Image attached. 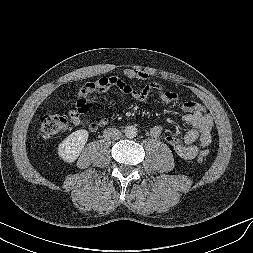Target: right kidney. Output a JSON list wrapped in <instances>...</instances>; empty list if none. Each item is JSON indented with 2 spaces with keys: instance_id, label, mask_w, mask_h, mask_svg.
Returning <instances> with one entry per match:
<instances>
[{
  "instance_id": "ca27d5eb",
  "label": "right kidney",
  "mask_w": 253,
  "mask_h": 253,
  "mask_svg": "<svg viewBox=\"0 0 253 253\" xmlns=\"http://www.w3.org/2000/svg\"><path fill=\"white\" fill-rule=\"evenodd\" d=\"M88 136V131L85 129H80L71 133L59 144V157L65 162H74L84 148V145L88 140Z\"/></svg>"
}]
</instances>
